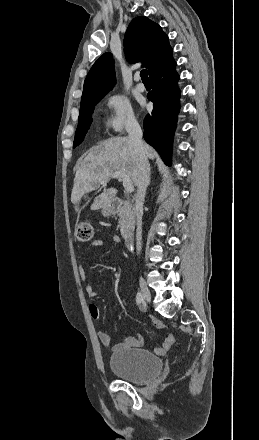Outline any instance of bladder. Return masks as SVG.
<instances>
[{"mask_svg": "<svg viewBox=\"0 0 259 440\" xmlns=\"http://www.w3.org/2000/svg\"><path fill=\"white\" fill-rule=\"evenodd\" d=\"M109 366L118 378L132 382L149 381L162 371V360L144 349L121 348L109 358Z\"/></svg>", "mask_w": 259, "mask_h": 440, "instance_id": "bladder-1", "label": "bladder"}]
</instances>
